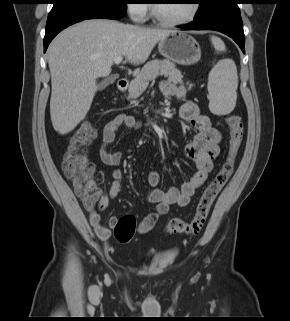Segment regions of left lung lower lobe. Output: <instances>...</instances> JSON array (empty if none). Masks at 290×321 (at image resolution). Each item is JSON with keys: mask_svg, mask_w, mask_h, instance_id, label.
Here are the masks:
<instances>
[{"mask_svg": "<svg viewBox=\"0 0 290 321\" xmlns=\"http://www.w3.org/2000/svg\"><path fill=\"white\" fill-rule=\"evenodd\" d=\"M240 0H225L207 14L196 17L189 25L179 26L184 30H215L231 37L245 53V36L240 10Z\"/></svg>", "mask_w": 290, "mask_h": 321, "instance_id": "1", "label": "left lung lower lobe"}]
</instances>
